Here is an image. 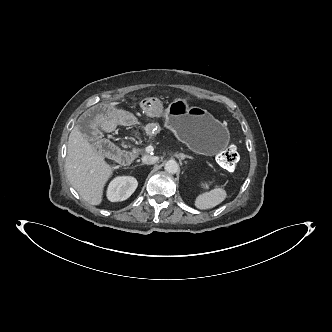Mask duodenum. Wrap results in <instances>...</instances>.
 Here are the masks:
<instances>
[{
	"instance_id": "410a0bca",
	"label": "duodenum",
	"mask_w": 332,
	"mask_h": 332,
	"mask_svg": "<svg viewBox=\"0 0 332 332\" xmlns=\"http://www.w3.org/2000/svg\"><path fill=\"white\" fill-rule=\"evenodd\" d=\"M118 159L121 164L129 165L133 161V155L128 151H122L118 154Z\"/></svg>"
}]
</instances>
